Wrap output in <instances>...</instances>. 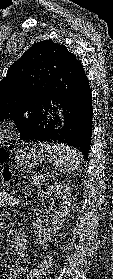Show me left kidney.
<instances>
[{"mask_svg":"<svg viewBox=\"0 0 113 279\" xmlns=\"http://www.w3.org/2000/svg\"><path fill=\"white\" fill-rule=\"evenodd\" d=\"M55 194L60 199V208L58 211L54 212L52 218V225L48 228H42L41 219H37L33 223L34 234L36 236V242L42 246L47 241H51L56 235L59 229L63 226L66 217L69 213L71 206V185L65 182H55L50 185L46 191L41 195L42 200H48L51 196Z\"/></svg>","mask_w":113,"mask_h":279,"instance_id":"left-kidney-1","label":"left kidney"}]
</instances>
